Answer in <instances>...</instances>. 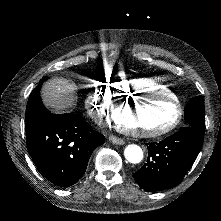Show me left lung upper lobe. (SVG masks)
<instances>
[{
  "instance_id": "5c2ea615",
  "label": "left lung upper lobe",
  "mask_w": 221,
  "mask_h": 221,
  "mask_svg": "<svg viewBox=\"0 0 221 221\" xmlns=\"http://www.w3.org/2000/svg\"><path fill=\"white\" fill-rule=\"evenodd\" d=\"M185 120L188 126L205 131L204 97H194L184 109Z\"/></svg>"
}]
</instances>
